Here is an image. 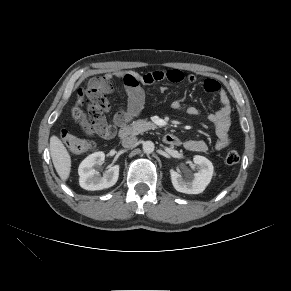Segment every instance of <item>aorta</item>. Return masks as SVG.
I'll use <instances>...</instances> for the list:
<instances>
[{
	"mask_svg": "<svg viewBox=\"0 0 291 291\" xmlns=\"http://www.w3.org/2000/svg\"><path fill=\"white\" fill-rule=\"evenodd\" d=\"M154 148H155V145L152 141H145L143 143V151L146 153V154H150L154 151Z\"/></svg>",
	"mask_w": 291,
	"mask_h": 291,
	"instance_id": "aorta-1",
	"label": "aorta"
}]
</instances>
